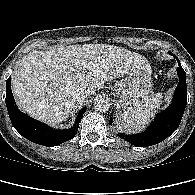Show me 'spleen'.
Listing matches in <instances>:
<instances>
[{
    "label": "spleen",
    "instance_id": "3e777b00",
    "mask_svg": "<svg viewBox=\"0 0 195 195\" xmlns=\"http://www.w3.org/2000/svg\"><path fill=\"white\" fill-rule=\"evenodd\" d=\"M162 93H157L152 96L140 107L126 111L121 115L122 121L130 128L142 130L149 120L158 112L162 104Z\"/></svg>",
    "mask_w": 195,
    "mask_h": 195
}]
</instances>
